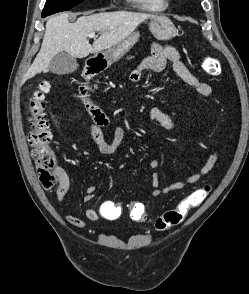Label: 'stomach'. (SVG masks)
Wrapping results in <instances>:
<instances>
[{
  "instance_id": "stomach-1",
  "label": "stomach",
  "mask_w": 249,
  "mask_h": 294,
  "mask_svg": "<svg viewBox=\"0 0 249 294\" xmlns=\"http://www.w3.org/2000/svg\"><path fill=\"white\" fill-rule=\"evenodd\" d=\"M149 29L152 34L162 41L172 39L178 34L173 22L165 16H154L150 18ZM139 33L130 34L120 43L98 54V59L103 67H109L119 61L137 42Z\"/></svg>"
}]
</instances>
